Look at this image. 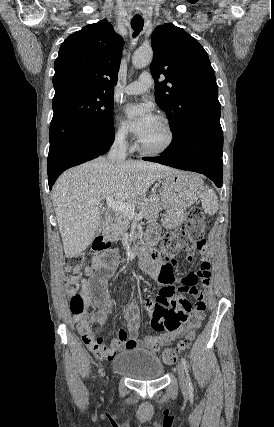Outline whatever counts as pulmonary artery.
Returning a JSON list of instances; mask_svg holds the SVG:
<instances>
[{"label": "pulmonary artery", "mask_w": 274, "mask_h": 427, "mask_svg": "<svg viewBox=\"0 0 274 427\" xmlns=\"http://www.w3.org/2000/svg\"><path fill=\"white\" fill-rule=\"evenodd\" d=\"M153 83L152 76L144 72L141 74L138 80L128 84L124 88V92L128 95H140L148 91Z\"/></svg>", "instance_id": "pulmonary-artery-1"}]
</instances>
